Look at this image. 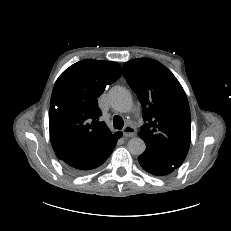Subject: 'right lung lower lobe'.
<instances>
[{"instance_id":"obj_1","label":"right lung lower lobe","mask_w":231,"mask_h":231,"mask_svg":"<svg viewBox=\"0 0 231 231\" xmlns=\"http://www.w3.org/2000/svg\"><path fill=\"white\" fill-rule=\"evenodd\" d=\"M122 136L119 132L114 139L106 143L102 147L82 153L66 154L59 157L66 167L75 173H83L95 169L102 165L112 153L117 140Z\"/></svg>"}]
</instances>
